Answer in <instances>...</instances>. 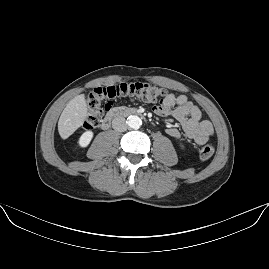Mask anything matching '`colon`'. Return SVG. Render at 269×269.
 <instances>
[{"instance_id": "obj_1", "label": "colon", "mask_w": 269, "mask_h": 269, "mask_svg": "<svg viewBox=\"0 0 269 269\" xmlns=\"http://www.w3.org/2000/svg\"><path fill=\"white\" fill-rule=\"evenodd\" d=\"M167 92V88L148 82L121 83L90 88L86 93L89 112L82 124L81 131H87L99 122L107 110V102L113 99L132 97L145 103H156L163 101ZM214 152L215 147L212 144H206L200 150L199 158L202 161L208 160L214 155Z\"/></svg>"}]
</instances>
